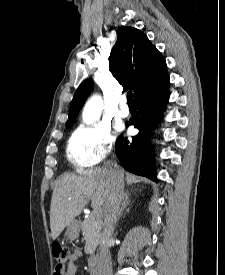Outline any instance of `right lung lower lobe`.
Masks as SVG:
<instances>
[{
    "mask_svg": "<svg viewBox=\"0 0 225 275\" xmlns=\"http://www.w3.org/2000/svg\"><path fill=\"white\" fill-rule=\"evenodd\" d=\"M168 74L157 85L134 99L137 113L129 120L130 125L139 129L131 141L119 137L116 141V155L122 166L129 172L157 180L152 159V148L149 138L154 123L157 122L169 100Z\"/></svg>",
    "mask_w": 225,
    "mask_h": 275,
    "instance_id": "obj_1",
    "label": "right lung lower lobe"
}]
</instances>
